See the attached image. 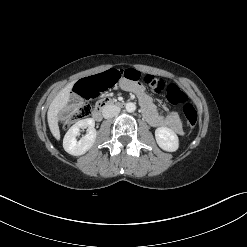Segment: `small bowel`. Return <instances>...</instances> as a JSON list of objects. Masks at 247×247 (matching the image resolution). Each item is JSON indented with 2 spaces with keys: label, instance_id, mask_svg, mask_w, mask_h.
I'll use <instances>...</instances> for the list:
<instances>
[{
  "label": "small bowel",
  "instance_id": "1",
  "mask_svg": "<svg viewBox=\"0 0 247 247\" xmlns=\"http://www.w3.org/2000/svg\"><path fill=\"white\" fill-rule=\"evenodd\" d=\"M120 87L125 91L134 93L138 97L144 116L152 126L169 128L178 135L183 134V126L178 113L172 111L165 117L159 115L150 97L146 94L143 85L139 82L123 79Z\"/></svg>",
  "mask_w": 247,
  "mask_h": 247
}]
</instances>
